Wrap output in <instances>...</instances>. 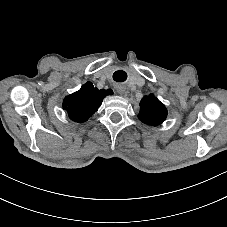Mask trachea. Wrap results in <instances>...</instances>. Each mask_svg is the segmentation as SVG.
<instances>
[{
	"label": "trachea",
	"instance_id": "obj_1",
	"mask_svg": "<svg viewBox=\"0 0 227 227\" xmlns=\"http://www.w3.org/2000/svg\"><path fill=\"white\" fill-rule=\"evenodd\" d=\"M113 79L116 82H123L127 79V73L123 70H117L113 74Z\"/></svg>",
	"mask_w": 227,
	"mask_h": 227
}]
</instances>
